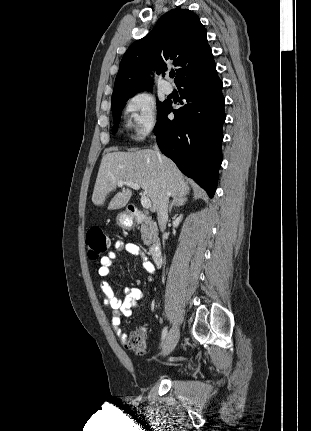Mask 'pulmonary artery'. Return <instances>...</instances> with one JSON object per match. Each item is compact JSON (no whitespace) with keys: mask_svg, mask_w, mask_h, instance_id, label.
Returning a JSON list of instances; mask_svg holds the SVG:
<instances>
[{"mask_svg":"<svg viewBox=\"0 0 311 431\" xmlns=\"http://www.w3.org/2000/svg\"><path fill=\"white\" fill-rule=\"evenodd\" d=\"M162 91L165 94L169 95V94H171L173 92V86L171 85L170 82L163 81V83H162Z\"/></svg>","mask_w":311,"mask_h":431,"instance_id":"obj_1","label":"pulmonary artery"}]
</instances>
